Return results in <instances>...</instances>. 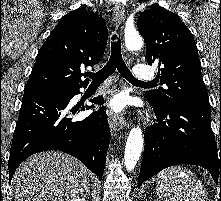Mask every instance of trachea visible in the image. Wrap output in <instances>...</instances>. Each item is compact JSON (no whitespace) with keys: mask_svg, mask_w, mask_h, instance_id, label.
I'll return each mask as SVG.
<instances>
[{"mask_svg":"<svg viewBox=\"0 0 221 201\" xmlns=\"http://www.w3.org/2000/svg\"><path fill=\"white\" fill-rule=\"evenodd\" d=\"M111 55L106 65L96 73H88L87 76L92 79V83H102L117 69L118 72L129 82L133 84L153 85L151 82H142L136 80L127 68L121 54V41L117 35L112 36Z\"/></svg>","mask_w":221,"mask_h":201,"instance_id":"1","label":"trachea"}]
</instances>
